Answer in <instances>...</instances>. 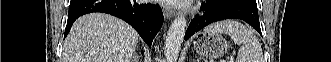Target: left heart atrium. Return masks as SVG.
<instances>
[{
    "label": "left heart atrium",
    "instance_id": "1",
    "mask_svg": "<svg viewBox=\"0 0 331 62\" xmlns=\"http://www.w3.org/2000/svg\"><path fill=\"white\" fill-rule=\"evenodd\" d=\"M166 2H168V3H183L185 1H183V0H166Z\"/></svg>",
    "mask_w": 331,
    "mask_h": 62
}]
</instances>
